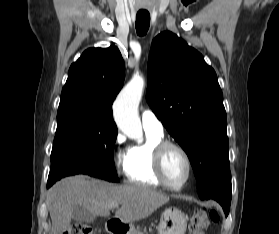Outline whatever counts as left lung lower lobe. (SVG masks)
I'll use <instances>...</instances> for the list:
<instances>
[{"mask_svg":"<svg viewBox=\"0 0 279 234\" xmlns=\"http://www.w3.org/2000/svg\"><path fill=\"white\" fill-rule=\"evenodd\" d=\"M231 195H232V192H231V194H229V196H228V198L230 199V201H231ZM216 197L219 198V199H222V200H225V198H226L225 195H221V194L216 195Z\"/></svg>","mask_w":279,"mask_h":234,"instance_id":"1","label":"left lung lower lobe"}]
</instances>
